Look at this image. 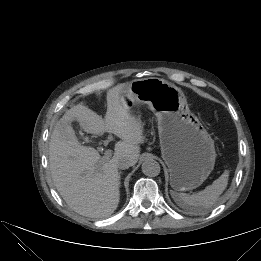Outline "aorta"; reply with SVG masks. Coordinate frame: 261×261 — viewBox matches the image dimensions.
I'll return each mask as SVG.
<instances>
[{
    "mask_svg": "<svg viewBox=\"0 0 261 261\" xmlns=\"http://www.w3.org/2000/svg\"><path fill=\"white\" fill-rule=\"evenodd\" d=\"M160 170V164L154 159H146L142 164V172L148 177L159 175Z\"/></svg>",
    "mask_w": 261,
    "mask_h": 261,
    "instance_id": "762f6f07",
    "label": "aorta"
}]
</instances>
